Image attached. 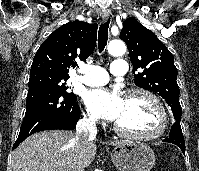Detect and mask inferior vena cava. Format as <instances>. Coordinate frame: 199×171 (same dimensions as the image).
<instances>
[{
  "label": "inferior vena cava",
  "mask_w": 199,
  "mask_h": 171,
  "mask_svg": "<svg viewBox=\"0 0 199 171\" xmlns=\"http://www.w3.org/2000/svg\"><path fill=\"white\" fill-rule=\"evenodd\" d=\"M97 134L96 119L84 117L76 125V139L85 144L95 139ZM86 165L82 159L75 160L74 171H85Z\"/></svg>",
  "instance_id": "1"
}]
</instances>
